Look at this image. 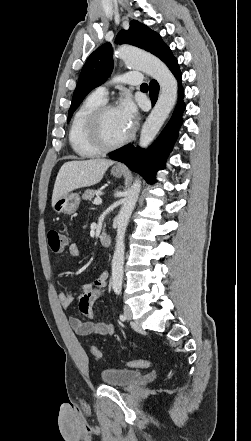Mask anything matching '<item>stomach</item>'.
Masks as SVG:
<instances>
[{
    "instance_id": "0dacf381",
    "label": "stomach",
    "mask_w": 251,
    "mask_h": 441,
    "mask_svg": "<svg viewBox=\"0 0 251 441\" xmlns=\"http://www.w3.org/2000/svg\"><path fill=\"white\" fill-rule=\"evenodd\" d=\"M111 173L114 177L120 178L123 175L122 170L112 168ZM80 203V197L77 193H66L61 196L53 205V210L58 213L73 214L76 212Z\"/></svg>"
}]
</instances>
